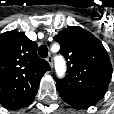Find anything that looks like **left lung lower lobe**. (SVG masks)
<instances>
[{
	"label": "left lung lower lobe",
	"instance_id": "0a47b994",
	"mask_svg": "<svg viewBox=\"0 0 114 114\" xmlns=\"http://www.w3.org/2000/svg\"><path fill=\"white\" fill-rule=\"evenodd\" d=\"M57 90L61 96V98L68 103L69 105L79 108L86 109L94 104H96L99 100L97 98H93L90 96L70 92L57 87Z\"/></svg>",
	"mask_w": 114,
	"mask_h": 114
}]
</instances>
